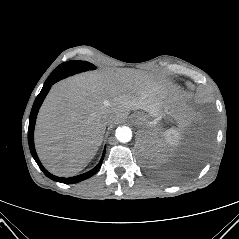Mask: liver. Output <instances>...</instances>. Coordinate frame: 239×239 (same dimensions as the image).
I'll return each instance as SVG.
<instances>
[{
  "instance_id": "liver-1",
  "label": "liver",
  "mask_w": 239,
  "mask_h": 239,
  "mask_svg": "<svg viewBox=\"0 0 239 239\" xmlns=\"http://www.w3.org/2000/svg\"><path fill=\"white\" fill-rule=\"evenodd\" d=\"M170 87L139 70L89 73L55 84L36 122L35 145L43 165L57 176H72L93 159L107 124L125 121L131 110L152 117L171 114L179 125L191 119L185 103L172 100ZM164 109V110H163ZM109 124V125H111Z\"/></svg>"
}]
</instances>
